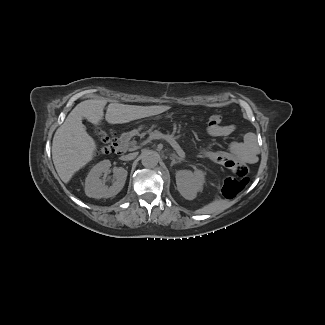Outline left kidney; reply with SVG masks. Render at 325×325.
I'll return each mask as SVG.
<instances>
[{"label": "left kidney", "instance_id": "1", "mask_svg": "<svg viewBox=\"0 0 325 325\" xmlns=\"http://www.w3.org/2000/svg\"><path fill=\"white\" fill-rule=\"evenodd\" d=\"M206 173L202 170H179L176 172V184L179 193L187 200L195 199L197 192L203 190Z\"/></svg>", "mask_w": 325, "mask_h": 325}]
</instances>
